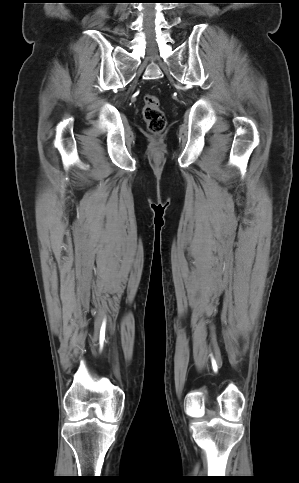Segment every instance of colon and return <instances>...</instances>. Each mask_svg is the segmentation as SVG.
Returning <instances> with one entry per match:
<instances>
[{
    "label": "colon",
    "instance_id": "5ec220e1",
    "mask_svg": "<svg viewBox=\"0 0 299 483\" xmlns=\"http://www.w3.org/2000/svg\"><path fill=\"white\" fill-rule=\"evenodd\" d=\"M142 115L151 133L159 134L163 132L166 126V117L156 95L147 94L144 96Z\"/></svg>",
    "mask_w": 299,
    "mask_h": 483
}]
</instances>
